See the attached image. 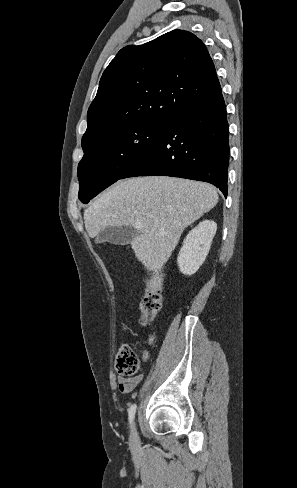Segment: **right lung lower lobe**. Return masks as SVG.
Segmentation results:
<instances>
[{"label":"right lung lower lobe","mask_w":297,"mask_h":488,"mask_svg":"<svg viewBox=\"0 0 297 488\" xmlns=\"http://www.w3.org/2000/svg\"><path fill=\"white\" fill-rule=\"evenodd\" d=\"M229 126L221 91L172 119L122 177L161 175L209 182L227 196Z\"/></svg>","instance_id":"1"}]
</instances>
